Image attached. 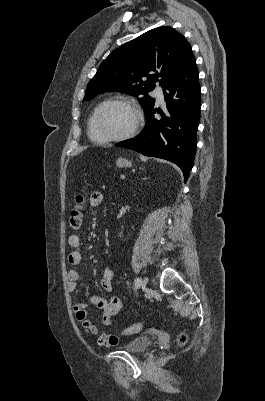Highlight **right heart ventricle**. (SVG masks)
<instances>
[{
  "mask_svg": "<svg viewBox=\"0 0 265 401\" xmlns=\"http://www.w3.org/2000/svg\"><path fill=\"white\" fill-rule=\"evenodd\" d=\"M100 105H101V103L98 104V105L93 109V111H92V113L90 114V116H89V118H88V121H87V133H88L89 138H90L92 141H94V140L92 139V137H91V135H90V121H91V119H92L94 113H95V112L97 111V109L100 107Z\"/></svg>",
  "mask_w": 265,
  "mask_h": 401,
  "instance_id": "obj_1",
  "label": "right heart ventricle"
}]
</instances>
